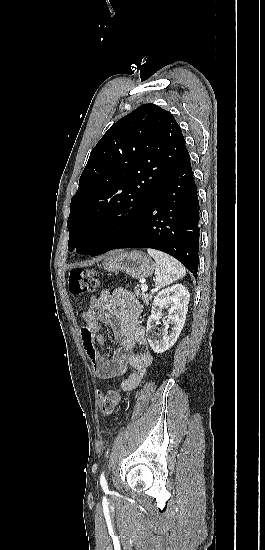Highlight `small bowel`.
I'll list each match as a JSON object with an SVG mask.
<instances>
[{
  "instance_id": "small-bowel-1",
  "label": "small bowel",
  "mask_w": 265,
  "mask_h": 550,
  "mask_svg": "<svg viewBox=\"0 0 265 550\" xmlns=\"http://www.w3.org/2000/svg\"><path fill=\"white\" fill-rule=\"evenodd\" d=\"M139 315L137 298L122 288L104 290L99 297L91 299L88 309L82 314L85 327L81 337L94 375L107 380L124 375L128 367L133 369L120 383L123 391L135 389L153 361ZM101 321L109 326L114 340L119 343L109 357L102 356L97 350V346L106 344V337L99 330ZM136 346L142 350L135 353Z\"/></svg>"
}]
</instances>
